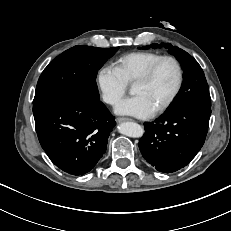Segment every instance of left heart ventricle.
<instances>
[{"label":"left heart ventricle","mask_w":231,"mask_h":231,"mask_svg":"<svg viewBox=\"0 0 231 231\" xmlns=\"http://www.w3.org/2000/svg\"><path fill=\"white\" fill-rule=\"evenodd\" d=\"M177 77L175 65L171 61H164L149 81L134 84L132 93L143 96L155 110L170 96L176 86Z\"/></svg>","instance_id":"left-heart-ventricle-1"}]
</instances>
